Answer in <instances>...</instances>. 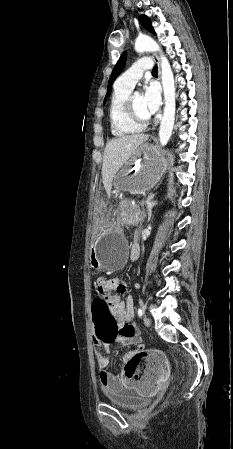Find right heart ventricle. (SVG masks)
<instances>
[{
	"instance_id": "e07e8e85",
	"label": "right heart ventricle",
	"mask_w": 233,
	"mask_h": 449,
	"mask_svg": "<svg viewBox=\"0 0 233 449\" xmlns=\"http://www.w3.org/2000/svg\"><path fill=\"white\" fill-rule=\"evenodd\" d=\"M131 88L115 84L109 103V121L111 133L115 137L134 135L143 131L144 127L132 122L125 112V101Z\"/></svg>"
}]
</instances>
